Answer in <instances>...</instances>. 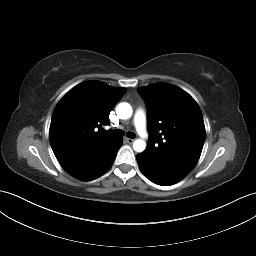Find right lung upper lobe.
Returning <instances> with one entry per match:
<instances>
[{
  "instance_id": "obj_1",
  "label": "right lung upper lobe",
  "mask_w": 256,
  "mask_h": 256,
  "mask_svg": "<svg viewBox=\"0 0 256 256\" xmlns=\"http://www.w3.org/2000/svg\"><path fill=\"white\" fill-rule=\"evenodd\" d=\"M125 92V88L92 80L64 95L53 112L49 131L53 152L61 166L86 158L120 138L103 132L102 125L110 123V111Z\"/></svg>"
}]
</instances>
